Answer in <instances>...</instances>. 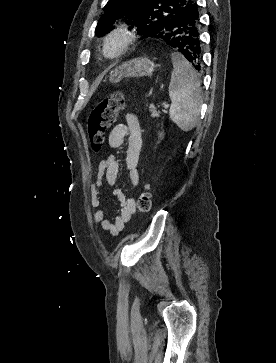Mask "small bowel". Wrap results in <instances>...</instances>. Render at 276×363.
<instances>
[{"mask_svg":"<svg viewBox=\"0 0 276 363\" xmlns=\"http://www.w3.org/2000/svg\"><path fill=\"white\" fill-rule=\"evenodd\" d=\"M127 139L125 165L128 177L133 186L140 181L138 160L142 148V129L140 122L133 113L124 115V122L118 123L110 131L108 144L112 149H121ZM120 158L108 155L98 166V176L91 184L90 196L93 219L96 225L113 236L119 235L136 211L134 198L127 197L122 191L115 190L114 195L120 202V210L114 220L108 218L101 208L100 192L104 186H114L120 172Z\"/></svg>","mask_w":276,"mask_h":363,"instance_id":"c3829d8e","label":"small bowel"}]
</instances>
